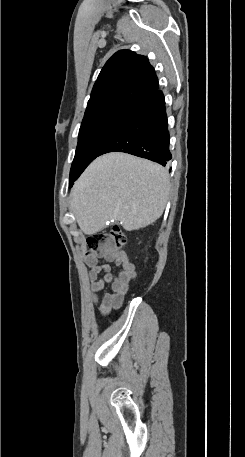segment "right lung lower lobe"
<instances>
[{
  "label": "right lung lower lobe",
  "mask_w": 245,
  "mask_h": 457,
  "mask_svg": "<svg viewBox=\"0 0 245 457\" xmlns=\"http://www.w3.org/2000/svg\"><path fill=\"white\" fill-rule=\"evenodd\" d=\"M125 152L165 166L171 159L169 132L162 91L156 90L139 100L104 145L99 156Z\"/></svg>",
  "instance_id": "right-lung-lower-lobe-1"
}]
</instances>
